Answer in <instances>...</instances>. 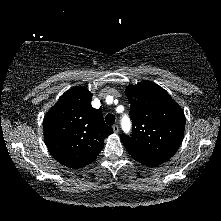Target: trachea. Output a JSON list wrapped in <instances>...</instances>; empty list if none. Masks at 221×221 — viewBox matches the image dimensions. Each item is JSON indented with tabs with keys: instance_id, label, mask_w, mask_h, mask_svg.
Wrapping results in <instances>:
<instances>
[{
	"instance_id": "1",
	"label": "trachea",
	"mask_w": 221,
	"mask_h": 221,
	"mask_svg": "<svg viewBox=\"0 0 221 221\" xmlns=\"http://www.w3.org/2000/svg\"><path fill=\"white\" fill-rule=\"evenodd\" d=\"M105 121L108 125H113L115 122V116L113 114H107L105 117Z\"/></svg>"
}]
</instances>
